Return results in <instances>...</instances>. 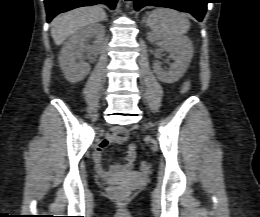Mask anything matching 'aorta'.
<instances>
[{"mask_svg": "<svg viewBox=\"0 0 260 217\" xmlns=\"http://www.w3.org/2000/svg\"><path fill=\"white\" fill-rule=\"evenodd\" d=\"M129 3H130V2H127V6H129Z\"/></svg>", "mask_w": 260, "mask_h": 217, "instance_id": "762f6f07", "label": "aorta"}]
</instances>
